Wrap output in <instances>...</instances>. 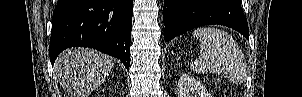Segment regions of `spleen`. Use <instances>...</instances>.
Wrapping results in <instances>:
<instances>
[{"instance_id": "3e777b00", "label": "spleen", "mask_w": 302, "mask_h": 97, "mask_svg": "<svg viewBox=\"0 0 302 97\" xmlns=\"http://www.w3.org/2000/svg\"><path fill=\"white\" fill-rule=\"evenodd\" d=\"M200 41V56L190 64L194 73H216L233 83L246 78V60L233 37L215 27H201L193 31Z\"/></svg>"}]
</instances>
